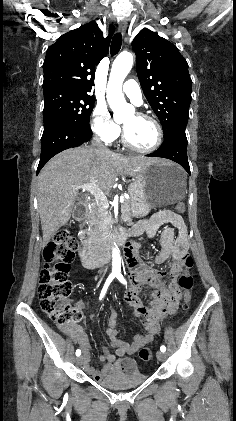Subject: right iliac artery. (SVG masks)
Here are the masks:
<instances>
[{"label":"right iliac artery","mask_w":236,"mask_h":421,"mask_svg":"<svg viewBox=\"0 0 236 421\" xmlns=\"http://www.w3.org/2000/svg\"><path fill=\"white\" fill-rule=\"evenodd\" d=\"M116 277V274H114V273H111L110 275H109V277L107 278V280H106V282H105V284H104V287H103V289H102V291H101V294H100V300L104 297V295H105V293H106V291H107V288H108V286L110 285V283L112 282V280L114 279ZM81 355V350H76V356H80Z\"/></svg>","instance_id":"82829eb1"}]
</instances>
